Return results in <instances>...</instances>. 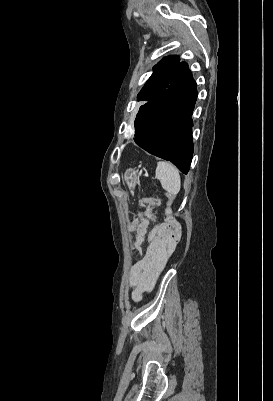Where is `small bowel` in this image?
I'll use <instances>...</instances> for the list:
<instances>
[{"label":"small bowel","instance_id":"small-bowel-1","mask_svg":"<svg viewBox=\"0 0 273 401\" xmlns=\"http://www.w3.org/2000/svg\"><path fill=\"white\" fill-rule=\"evenodd\" d=\"M131 221L134 223L132 229L135 231V246H139L145 240L148 242L144 255L131 267L129 273L128 289L131 299L138 302L144 293L151 291L155 286L176 241L152 240L154 229L161 228L157 225L149 232L145 231L146 224H152L154 221L152 215H134Z\"/></svg>","mask_w":273,"mask_h":401}]
</instances>
